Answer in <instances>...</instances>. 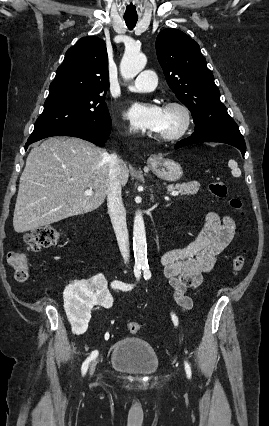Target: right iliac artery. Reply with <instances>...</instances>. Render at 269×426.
<instances>
[{"instance_id": "obj_1", "label": "right iliac artery", "mask_w": 269, "mask_h": 426, "mask_svg": "<svg viewBox=\"0 0 269 426\" xmlns=\"http://www.w3.org/2000/svg\"><path fill=\"white\" fill-rule=\"evenodd\" d=\"M140 267H136L135 269H134V274H135V277L137 278V279H139L140 278V275H141V271H140ZM112 286L113 287H115V288H119V289H125L126 291H128V290H131L132 288H133V286L132 285H127V284H119L118 282H116V281H114V282H112ZM98 356V351L97 350H94L91 354H90V356L83 362V364H82V367H81V371H82V375H85L86 374V372H87V369H88V366H89V363L93 360V359H95L96 357Z\"/></svg>"}]
</instances>
